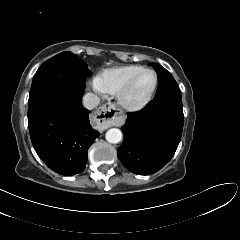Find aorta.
<instances>
[{"instance_id": "1", "label": "aorta", "mask_w": 240, "mask_h": 240, "mask_svg": "<svg viewBox=\"0 0 240 240\" xmlns=\"http://www.w3.org/2000/svg\"><path fill=\"white\" fill-rule=\"evenodd\" d=\"M105 137L109 143L116 144L122 140V132L117 128H112L106 132Z\"/></svg>"}]
</instances>
